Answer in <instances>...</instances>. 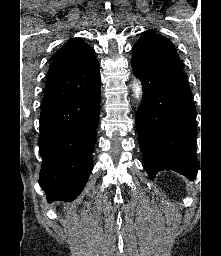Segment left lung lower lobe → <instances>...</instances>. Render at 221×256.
Returning <instances> with one entry per match:
<instances>
[{
    "label": "left lung lower lobe",
    "mask_w": 221,
    "mask_h": 256,
    "mask_svg": "<svg viewBox=\"0 0 221 256\" xmlns=\"http://www.w3.org/2000/svg\"><path fill=\"white\" fill-rule=\"evenodd\" d=\"M134 75L143 86L136 125L149 177L173 170L194 180L198 170L196 109L186 77Z\"/></svg>",
    "instance_id": "1"
}]
</instances>
